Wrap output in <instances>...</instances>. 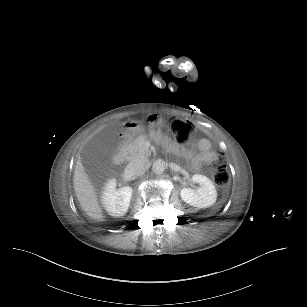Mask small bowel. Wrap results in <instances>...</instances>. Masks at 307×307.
I'll use <instances>...</instances> for the list:
<instances>
[{
	"label": "small bowel",
	"instance_id": "c3829d8e",
	"mask_svg": "<svg viewBox=\"0 0 307 307\" xmlns=\"http://www.w3.org/2000/svg\"><path fill=\"white\" fill-rule=\"evenodd\" d=\"M187 155L191 159L193 169L198 170L203 164H210L218 156L211 149L210 141L203 138L200 139L191 148L186 150Z\"/></svg>",
	"mask_w": 307,
	"mask_h": 307
}]
</instances>
